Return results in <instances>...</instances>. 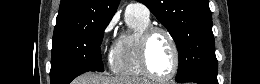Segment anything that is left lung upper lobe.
Listing matches in <instances>:
<instances>
[{
	"mask_svg": "<svg viewBox=\"0 0 260 84\" xmlns=\"http://www.w3.org/2000/svg\"><path fill=\"white\" fill-rule=\"evenodd\" d=\"M174 39L179 53L177 82L197 75H217L212 16L208 0H138Z\"/></svg>",
	"mask_w": 260,
	"mask_h": 84,
	"instance_id": "left-lung-upper-lobe-1",
	"label": "left lung upper lobe"
}]
</instances>
